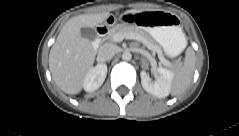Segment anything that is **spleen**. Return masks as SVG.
Wrapping results in <instances>:
<instances>
[{
    "label": "spleen",
    "instance_id": "1",
    "mask_svg": "<svg viewBox=\"0 0 239 136\" xmlns=\"http://www.w3.org/2000/svg\"><path fill=\"white\" fill-rule=\"evenodd\" d=\"M195 70V54L189 48L186 52L185 62L183 67L176 73L171 93L173 96H180L188 88L191 83Z\"/></svg>",
    "mask_w": 239,
    "mask_h": 136
}]
</instances>
